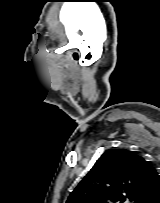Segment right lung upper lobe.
Wrapping results in <instances>:
<instances>
[{"instance_id": "1", "label": "right lung upper lobe", "mask_w": 160, "mask_h": 203, "mask_svg": "<svg viewBox=\"0 0 160 203\" xmlns=\"http://www.w3.org/2000/svg\"><path fill=\"white\" fill-rule=\"evenodd\" d=\"M160 195V175L127 149L107 150L66 203H150Z\"/></svg>"}]
</instances>
